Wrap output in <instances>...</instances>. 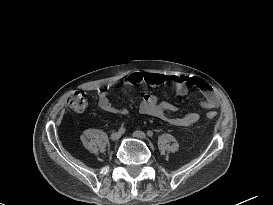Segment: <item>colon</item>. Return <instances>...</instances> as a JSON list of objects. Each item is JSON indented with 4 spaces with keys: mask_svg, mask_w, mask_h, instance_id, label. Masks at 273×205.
<instances>
[{
    "mask_svg": "<svg viewBox=\"0 0 273 205\" xmlns=\"http://www.w3.org/2000/svg\"><path fill=\"white\" fill-rule=\"evenodd\" d=\"M89 101V94L83 91H73L71 92L66 99V103L69 106L70 109L74 111H83ZM207 117L209 119H214L216 117V114L214 112H208Z\"/></svg>",
    "mask_w": 273,
    "mask_h": 205,
    "instance_id": "1",
    "label": "colon"
}]
</instances>
